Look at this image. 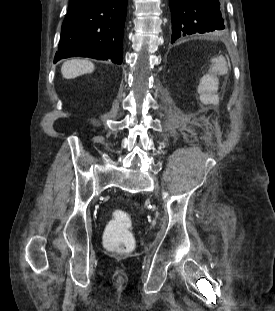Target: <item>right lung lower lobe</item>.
Here are the masks:
<instances>
[{"mask_svg":"<svg viewBox=\"0 0 275 311\" xmlns=\"http://www.w3.org/2000/svg\"><path fill=\"white\" fill-rule=\"evenodd\" d=\"M128 0H71L54 63L72 56L122 63Z\"/></svg>","mask_w":275,"mask_h":311,"instance_id":"obj_1","label":"right lung lower lobe"}]
</instances>
